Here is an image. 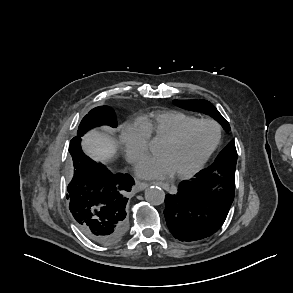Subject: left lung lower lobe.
Instances as JSON below:
<instances>
[{
    "mask_svg": "<svg viewBox=\"0 0 293 293\" xmlns=\"http://www.w3.org/2000/svg\"><path fill=\"white\" fill-rule=\"evenodd\" d=\"M234 195L233 171H203L181 183L176 194L165 197L164 215L170 232L181 241L209 237L224 223Z\"/></svg>",
    "mask_w": 293,
    "mask_h": 293,
    "instance_id": "left-lung-lower-lobe-1",
    "label": "left lung lower lobe"
}]
</instances>
